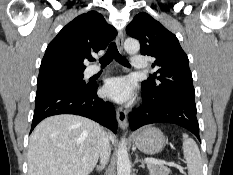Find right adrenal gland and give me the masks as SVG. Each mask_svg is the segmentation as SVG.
Masks as SVG:
<instances>
[{
    "mask_svg": "<svg viewBox=\"0 0 233 175\" xmlns=\"http://www.w3.org/2000/svg\"><path fill=\"white\" fill-rule=\"evenodd\" d=\"M102 169H103V166H102V165H97V166H96V170H97L98 172L102 171Z\"/></svg>",
    "mask_w": 233,
    "mask_h": 175,
    "instance_id": "2a0ac1e0",
    "label": "right adrenal gland"
}]
</instances>
